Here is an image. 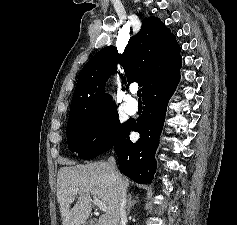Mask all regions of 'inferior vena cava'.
Wrapping results in <instances>:
<instances>
[{
	"mask_svg": "<svg viewBox=\"0 0 237 225\" xmlns=\"http://www.w3.org/2000/svg\"><path fill=\"white\" fill-rule=\"evenodd\" d=\"M108 164L110 167V170L112 172V175L117 179V181H120V174L117 170L116 161L113 156L109 157ZM118 193V199H119V215H120V225H123L124 222L127 220L126 216V190L120 185L117 190Z\"/></svg>",
	"mask_w": 237,
	"mask_h": 225,
	"instance_id": "602c4592",
	"label": "inferior vena cava"
}]
</instances>
